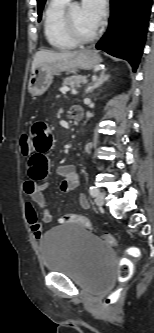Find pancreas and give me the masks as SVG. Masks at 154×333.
Returning <instances> with one entry per match:
<instances>
[{"label":"pancreas","instance_id":"1","mask_svg":"<svg viewBox=\"0 0 154 333\" xmlns=\"http://www.w3.org/2000/svg\"><path fill=\"white\" fill-rule=\"evenodd\" d=\"M85 81V77L81 75H73L63 79V86H70L72 88H77L81 83Z\"/></svg>","mask_w":154,"mask_h":333}]
</instances>
